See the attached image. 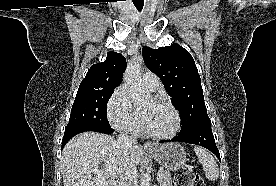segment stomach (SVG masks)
<instances>
[{
  "mask_svg": "<svg viewBox=\"0 0 276 186\" xmlns=\"http://www.w3.org/2000/svg\"><path fill=\"white\" fill-rule=\"evenodd\" d=\"M148 153L164 168L170 171H176L184 167L186 162V153L184 148L177 143H167Z\"/></svg>",
  "mask_w": 276,
  "mask_h": 186,
  "instance_id": "stomach-1",
  "label": "stomach"
}]
</instances>
